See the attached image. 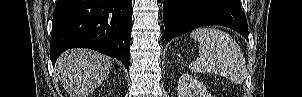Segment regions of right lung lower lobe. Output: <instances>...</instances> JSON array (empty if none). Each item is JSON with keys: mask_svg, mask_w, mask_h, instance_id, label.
Segmentation results:
<instances>
[{"mask_svg": "<svg viewBox=\"0 0 302 97\" xmlns=\"http://www.w3.org/2000/svg\"><path fill=\"white\" fill-rule=\"evenodd\" d=\"M132 0H59L50 40L52 63L69 48H90L129 70Z\"/></svg>", "mask_w": 302, "mask_h": 97, "instance_id": "98d812e1", "label": "right lung lower lobe"}]
</instances>
